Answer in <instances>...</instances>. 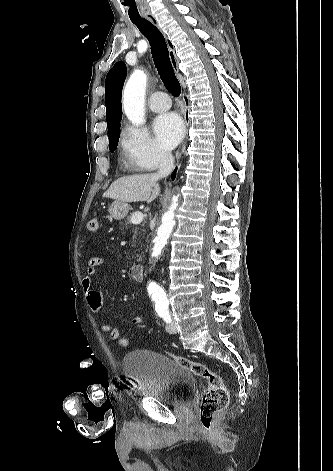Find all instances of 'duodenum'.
Here are the masks:
<instances>
[{
  "label": "duodenum",
  "instance_id": "duodenum-1",
  "mask_svg": "<svg viewBox=\"0 0 333 471\" xmlns=\"http://www.w3.org/2000/svg\"><path fill=\"white\" fill-rule=\"evenodd\" d=\"M143 266L136 264L130 267L129 273L131 277L136 281H141L143 279Z\"/></svg>",
  "mask_w": 333,
  "mask_h": 471
}]
</instances>
